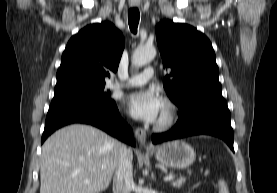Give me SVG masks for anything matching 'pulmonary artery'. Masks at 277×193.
<instances>
[{"label": "pulmonary artery", "instance_id": "pulmonary-artery-1", "mask_svg": "<svg viewBox=\"0 0 277 193\" xmlns=\"http://www.w3.org/2000/svg\"><path fill=\"white\" fill-rule=\"evenodd\" d=\"M154 75V70L151 67L146 68L142 73L137 74L129 78L125 85L126 86H140L149 81Z\"/></svg>", "mask_w": 277, "mask_h": 193}]
</instances>
